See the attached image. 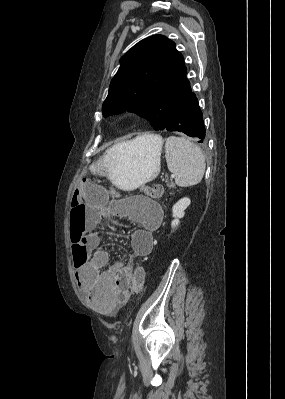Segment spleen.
I'll use <instances>...</instances> for the list:
<instances>
[{
    "mask_svg": "<svg viewBox=\"0 0 285 399\" xmlns=\"http://www.w3.org/2000/svg\"><path fill=\"white\" fill-rule=\"evenodd\" d=\"M167 167L180 187L198 184L205 172L202 150L184 137L170 136L165 143Z\"/></svg>",
    "mask_w": 285,
    "mask_h": 399,
    "instance_id": "3e777b00",
    "label": "spleen"
}]
</instances>
